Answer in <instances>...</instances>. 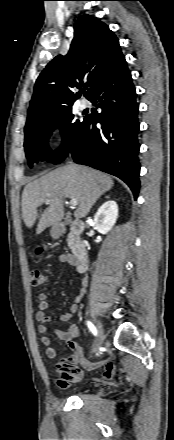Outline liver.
I'll return each instance as SVG.
<instances>
[{"instance_id":"6515ba94","label":"liver","mask_w":174,"mask_h":440,"mask_svg":"<svg viewBox=\"0 0 174 440\" xmlns=\"http://www.w3.org/2000/svg\"><path fill=\"white\" fill-rule=\"evenodd\" d=\"M113 179L100 171L73 163L59 167L28 183L22 193V218L28 228L38 218V207H48L41 215L37 233L57 224L64 216L63 200L76 199L74 217H85L94 203L113 187Z\"/></svg>"}]
</instances>
